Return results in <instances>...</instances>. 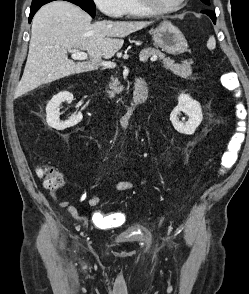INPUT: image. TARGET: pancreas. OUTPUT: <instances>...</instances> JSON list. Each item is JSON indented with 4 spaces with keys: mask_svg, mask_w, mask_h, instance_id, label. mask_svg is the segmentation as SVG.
<instances>
[{
    "mask_svg": "<svg viewBox=\"0 0 249 294\" xmlns=\"http://www.w3.org/2000/svg\"><path fill=\"white\" fill-rule=\"evenodd\" d=\"M140 56H158L163 64L164 67L170 71H172L175 75L182 77V78H188L192 74V68L191 65L193 64L192 60H185L182 62V64L175 63L174 60L170 59L169 57H166L164 53L159 51L158 49L154 48H145L140 52ZM110 88L112 91H107L110 98L114 97L115 93H119L122 91V87L119 86V81L117 78H111Z\"/></svg>",
    "mask_w": 249,
    "mask_h": 294,
    "instance_id": "1",
    "label": "pancreas"
}]
</instances>
